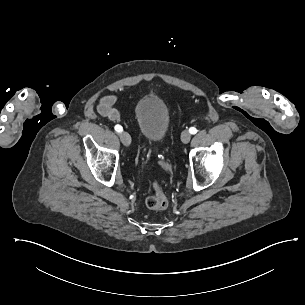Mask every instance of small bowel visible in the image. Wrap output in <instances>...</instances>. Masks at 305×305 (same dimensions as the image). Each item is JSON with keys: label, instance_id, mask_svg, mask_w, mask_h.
Here are the masks:
<instances>
[{"label": "small bowel", "instance_id": "1", "mask_svg": "<svg viewBox=\"0 0 305 305\" xmlns=\"http://www.w3.org/2000/svg\"><path fill=\"white\" fill-rule=\"evenodd\" d=\"M117 101V96L114 94H108L103 96L97 104V112L110 120H118L121 117L119 110L115 109L113 105Z\"/></svg>", "mask_w": 305, "mask_h": 305}]
</instances>
